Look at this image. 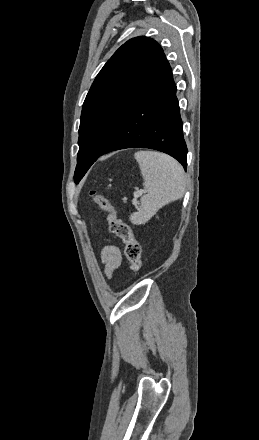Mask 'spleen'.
I'll return each instance as SVG.
<instances>
[{
    "label": "spleen",
    "mask_w": 259,
    "mask_h": 440,
    "mask_svg": "<svg viewBox=\"0 0 259 440\" xmlns=\"http://www.w3.org/2000/svg\"><path fill=\"white\" fill-rule=\"evenodd\" d=\"M144 179L147 194L137 212L130 216L133 224H145L163 206L183 197L185 179L181 165L172 157L156 151H138L134 155Z\"/></svg>",
    "instance_id": "3e777b00"
}]
</instances>
